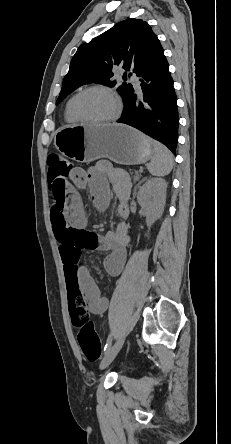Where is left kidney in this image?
Returning <instances> with one entry per match:
<instances>
[{"instance_id": "1", "label": "left kidney", "mask_w": 231, "mask_h": 444, "mask_svg": "<svg viewBox=\"0 0 231 444\" xmlns=\"http://www.w3.org/2000/svg\"><path fill=\"white\" fill-rule=\"evenodd\" d=\"M167 183L162 178L147 180L137 193L139 205L146 211V223L150 228L163 213L166 202Z\"/></svg>"}]
</instances>
